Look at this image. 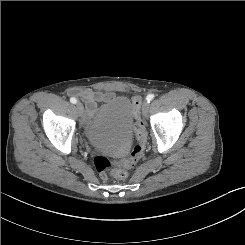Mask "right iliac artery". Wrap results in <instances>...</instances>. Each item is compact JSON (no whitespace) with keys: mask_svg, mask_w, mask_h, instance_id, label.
Here are the masks:
<instances>
[{"mask_svg":"<svg viewBox=\"0 0 245 245\" xmlns=\"http://www.w3.org/2000/svg\"><path fill=\"white\" fill-rule=\"evenodd\" d=\"M70 102L73 103V104H75L77 102V99L74 98V97H72V98H70Z\"/></svg>","mask_w":245,"mask_h":245,"instance_id":"1","label":"right iliac artery"}]
</instances>
